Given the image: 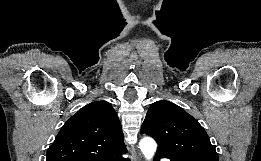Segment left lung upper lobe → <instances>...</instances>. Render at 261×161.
Returning <instances> with one entry per match:
<instances>
[{"instance_id":"left-lung-upper-lobe-1","label":"left lung upper lobe","mask_w":261,"mask_h":161,"mask_svg":"<svg viewBox=\"0 0 261 161\" xmlns=\"http://www.w3.org/2000/svg\"><path fill=\"white\" fill-rule=\"evenodd\" d=\"M141 134L155 139L157 153L181 161H219L215 146L190 114L176 104L154 102L145 117Z\"/></svg>"}]
</instances>
